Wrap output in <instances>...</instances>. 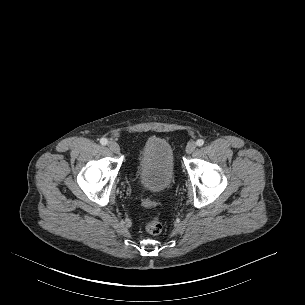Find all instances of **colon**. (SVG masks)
Segmentation results:
<instances>
[{"label": "colon", "mask_w": 305, "mask_h": 305, "mask_svg": "<svg viewBox=\"0 0 305 305\" xmlns=\"http://www.w3.org/2000/svg\"><path fill=\"white\" fill-rule=\"evenodd\" d=\"M141 198H142L143 203L146 206L154 205V203L148 199V194L145 191H143L141 193ZM146 230L148 233H150L152 235L159 234L162 230V224H161L160 220L156 217H152V218L148 219V221L146 223Z\"/></svg>", "instance_id": "obj_1"}]
</instances>
